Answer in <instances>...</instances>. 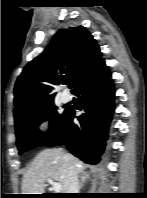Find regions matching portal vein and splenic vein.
<instances>
[{"instance_id":"portal-vein-and-splenic-vein-1","label":"portal vein and splenic vein","mask_w":147,"mask_h":198,"mask_svg":"<svg viewBox=\"0 0 147 198\" xmlns=\"http://www.w3.org/2000/svg\"><path fill=\"white\" fill-rule=\"evenodd\" d=\"M48 183L52 185V189L55 193H60L62 190L61 184L58 182L53 181L52 179H48Z\"/></svg>"}]
</instances>
